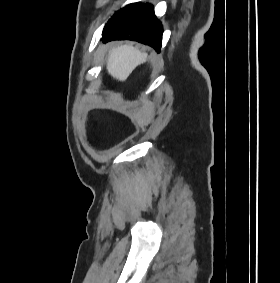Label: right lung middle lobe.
I'll return each instance as SVG.
<instances>
[{
  "mask_svg": "<svg viewBox=\"0 0 280 283\" xmlns=\"http://www.w3.org/2000/svg\"><path fill=\"white\" fill-rule=\"evenodd\" d=\"M137 4H138V3L129 4V5H127L126 7L120 9L119 11H117V12L113 15V17H112L111 19H113L114 17H116V16L119 15L120 13H122V12H124V11H126V10L132 8V7H134V6L137 5ZM111 19H110V20H111Z\"/></svg>",
  "mask_w": 280,
  "mask_h": 283,
  "instance_id": "dd1d6c3e",
  "label": "right lung middle lobe"
}]
</instances>
